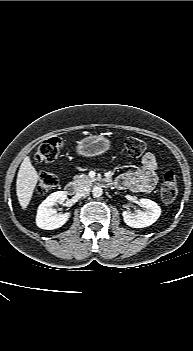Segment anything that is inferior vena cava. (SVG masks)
Returning <instances> with one entry per match:
<instances>
[{
    "instance_id": "inferior-vena-cava-1",
    "label": "inferior vena cava",
    "mask_w": 193,
    "mask_h": 351,
    "mask_svg": "<svg viewBox=\"0 0 193 351\" xmlns=\"http://www.w3.org/2000/svg\"><path fill=\"white\" fill-rule=\"evenodd\" d=\"M90 191H91V188L87 184H82L77 188V194L82 197L88 196Z\"/></svg>"
}]
</instances>
